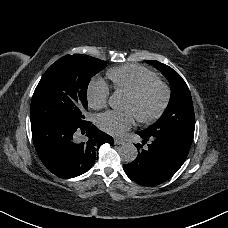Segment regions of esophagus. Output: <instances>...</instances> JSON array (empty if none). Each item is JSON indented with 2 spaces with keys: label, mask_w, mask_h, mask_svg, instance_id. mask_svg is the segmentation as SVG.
<instances>
[{
  "label": "esophagus",
  "mask_w": 228,
  "mask_h": 228,
  "mask_svg": "<svg viewBox=\"0 0 228 228\" xmlns=\"http://www.w3.org/2000/svg\"><path fill=\"white\" fill-rule=\"evenodd\" d=\"M115 144L116 145H122V144H124V141L121 139H115Z\"/></svg>",
  "instance_id": "34e87169"
}]
</instances>
